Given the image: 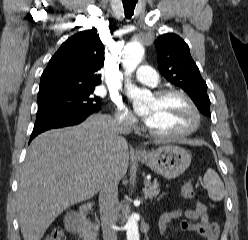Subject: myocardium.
Instances as JSON below:
<instances>
[{
	"label": "myocardium",
	"instance_id": "obj_1",
	"mask_svg": "<svg viewBox=\"0 0 248 240\" xmlns=\"http://www.w3.org/2000/svg\"><path fill=\"white\" fill-rule=\"evenodd\" d=\"M168 95H178L181 96L188 104L189 108L191 109V112L193 114L194 120L193 123L185 130L178 131V132H159L151 129L148 125L146 126V131L155 136L160 138H181L188 136L195 131H197L201 125V113L193 101V99L190 97V95L185 92L182 89L174 88V87H168V88H162L154 92V96L158 99L166 97Z\"/></svg>",
	"mask_w": 248,
	"mask_h": 240
}]
</instances>
